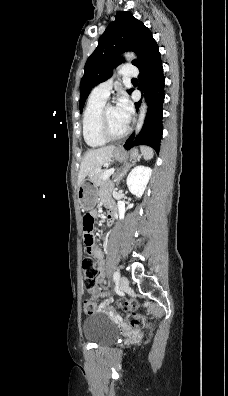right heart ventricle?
I'll return each mask as SVG.
<instances>
[{
  "instance_id": "right-heart-ventricle-1",
  "label": "right heart ventricle",
  "mask_w": 228,
  "mask_h": 396,
  "mask_svg": "<svg viewBox=\"0 0 228 396\" xmlns=\"http://www.w3.org/2000/svg\"><path fill=\"white\" fill-rule=\"evenodd\" d=\"M106 99L90 95L82 119V132L86 144L92 148L102 147L106 140L99 132V114Z\"/></svg>"
}]
</instances>
